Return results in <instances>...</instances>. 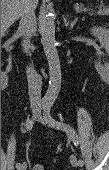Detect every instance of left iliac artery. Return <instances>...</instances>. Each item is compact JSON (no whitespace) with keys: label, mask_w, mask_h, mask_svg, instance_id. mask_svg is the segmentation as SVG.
<instances>
[{"label":"left iliac artery","mask_w":109,"mask_h":170,"mask_svg":"<svg viewBox=\"0 0 109 170\" xmlns=\"http://www.w3.org/2000/svg\"><path fill=\"white\" fill-rule=\"evenodd\" d=\"M50 107H51V105H47L46 108H45L44 116H45L46 120L52 126L58 128V129L65 130L67 135L70 138H72L74 145L77 146L79 142H78V136H77L75 130L69 124H66L64 122H59V121H56L55 119H53L50 116ZM79 163H80L81 166H83L84 161L82 159H79Z\"/></svg>","instance_id":"obj_1"}]
</instances>
